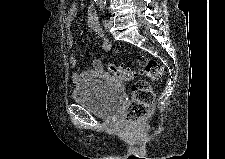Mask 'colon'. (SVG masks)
<instances>
[{
  "label": "colon",
  "mask_w": 225,
  "mask_h": 159,
  "mask_svg": "<svg viewBox=\"0 0 225 159\" xmlns=\"http://www.w3.org/2000/svg\"><path fill=\"white\" fill-rule=\"evenodd\" d=\"M141 72L153 83L158 82L163 75V69L154 59L140 56L137 59ZM107 73L113 79L131 81L134 79V72L128 68L108 64ZM154 101V89L152 83L139 80L132 88V100L125 111V121L131 126H139L147 116Z\"/></svg>",
  "instance_id": "1"
}]
</instances>
